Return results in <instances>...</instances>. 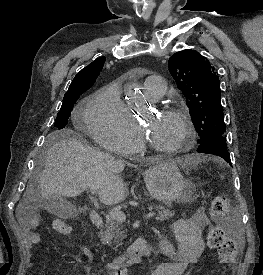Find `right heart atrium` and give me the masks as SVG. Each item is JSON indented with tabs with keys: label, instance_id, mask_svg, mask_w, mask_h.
<instances>
[{
	"label": "right heart atrium",
	"instance_id": "right-heart-atrium-1",
	"mask_svg": "<svg viewBox=\"0 0 263 275\" xmlns=\"http://www.w3.org/2000/svg\"><path fill=\"white\" fill-rule=\"evenodd\" d=\"M84 123L91 137L112 152L127 154L141 145V129L116 87H105L92 96Z\"/></svg>",
	"mask_w": 263,
	"mask_h": 275
}]
</instances>
